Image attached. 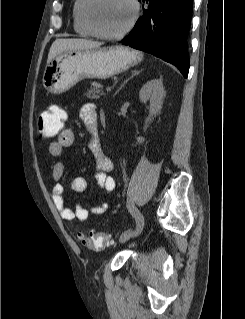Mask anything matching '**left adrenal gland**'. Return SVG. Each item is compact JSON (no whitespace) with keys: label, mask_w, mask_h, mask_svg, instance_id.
<instances>
[{"label":"left adrenal gland","mask_w":245,"mask_h":319,"mask_svg":"<svg viewBox=\"0 0 245 319\" xmlns=\"http://www.w3.org/2000/svg\"><path fill=\"white\" fill-rule=\"evenodd\" d=\"M141 71H142V70L132 71L131 76H130L128 79H126V80L122 83V85L119 87V89L115 92V95L120 91V89H121L130 79H132L134 76L138 75Z\"/></svg>","instance_id":"obj_1"}]
</instances>
